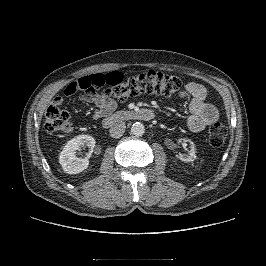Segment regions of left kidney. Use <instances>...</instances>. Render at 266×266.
<instances>
[{"instance_id": "left-kidney-1", "label": "left kidney", "mask_w": 266, "mask_h": 266, "mask_svg": "<svg viewBox=\"0 0 266 266\" xmlns=\"http://www.w3.org/2000/svg\"><path fill=\"white\" fill-rule=\"evenodd\" d=\"M182 161L185 162H193L196 159V149L194 144L191 142L190 150L188 152V155L184 157H180Z\"/></svg>"}]
</instances>
